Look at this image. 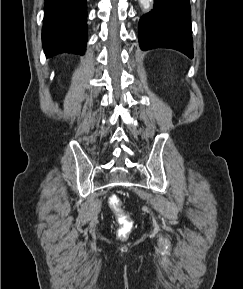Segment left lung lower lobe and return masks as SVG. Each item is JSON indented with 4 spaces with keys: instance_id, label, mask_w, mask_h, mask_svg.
<instances>
[{
    "instance_id": "1",
    "label": "left lung lower lobe",
    "mask_w": 243,
    "mask_h": 289,
    "mask_svg": "<svg viewBox=\"0 0 243 289\" xmlns=\"http://www.w3.org/2000/svg\"><path fill=\"white\" fill-rule=\"evenodd\" d=\"M154 1L153 10L139 21L140 48H171L193 58L189 0Z\"/></svg>"
}]
</instances>
